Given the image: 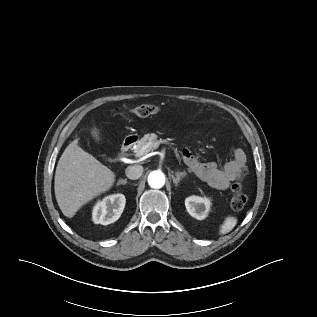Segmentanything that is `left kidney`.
I'll list each match as a JSON object with an SVG mask.
<instances>
[{"label": "left kidney", "instance_id": "obj_1", "mask_svg": "<svg viewBox=\"0 0 317 317\" xmlns=\"http://www.w3.org/2000/svg\"><path fill=\"white\" fill-rule=\"evenodd\" d=\"M210 205L211 202L206 197L190 196L185 200L188 213L198 220H203L207 217Z\"/></svg>", "mask_w": 317, "mask_h": 317}]
</instances>
